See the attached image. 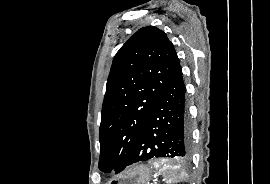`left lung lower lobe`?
<instances>
[{"mask_svg":"<svg viewBox=\"0 0 270 184\" xmlns=\"http://www.w3.org/2000/svg\"><path fill=\"white\" fill-rule=\"evenodd\" d=\"M190 157L191 127L186 88L179 66L161 93L125 168L149 159L188 161Z\"/></svg>","mask_w":270,"mask_h":184,"instance_id":"1","label":"left lung lower lobe"}]
</instances>
